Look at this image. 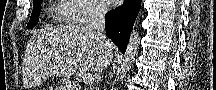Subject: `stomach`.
I'll return each mask as SVG.
<instances>
[{
  "label": "stomach",
  "instance_id": "obj_1",
  "mask_svg": "<svg viewBox=\"0 0 216 90\" xmlns=\"http://www.w3.org/2000/svg\"><path fill=\"white\" fill-rule=\"evenodd\" d=\"M56 90H71L70 83L67 80L62 79L58 82Z\"/></svg>",
  "mask_w": 216,
  "mask_h": 90
}]
</instances>
